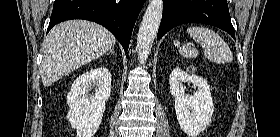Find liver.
Wrapping results in <instances>:
<instances>
[{"label": "liver", "instance_id": "obj_1", "mask_svg": "<svg viewBox=\"0 0 280 137\" xmlns=\"http://www.w3.org/2000/svg\"><path fill=\"white\" fill-rule=\"evenodd\" d=\"M116 38L103 26L86 20L66 21L48 34L42 50L41 78L48 87L75 69L111 50Z\"/></svg>", "mask_w": 280, "mask_h": 137}]
</instances>
